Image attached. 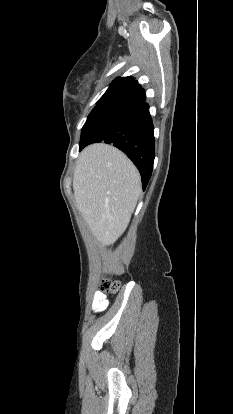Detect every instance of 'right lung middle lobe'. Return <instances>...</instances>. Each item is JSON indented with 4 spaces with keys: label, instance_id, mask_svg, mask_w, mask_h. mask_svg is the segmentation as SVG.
Returning a JSON list of instances; mask_svg holds the SVG:
<instances>
[{
    "label": "right lung middle lobe",
    "instance_id": "obj_1",
    "mask_svg": "<svg viewBox=\"0 0 233 414\" xmlns=\"http://www.w3.org/2000/svg\"><path fill=\"white\" fill-rule=\"evenodd\" d=\"M134 85L133 81L130 80H125V79H116L108 88V90L105 92V94L99 99V101L97 102V104H99L100 102L106 100L107 98H110L112 96H115L127 89H129L130 87H132Z\"/></svg>",
    "mask_w": 233,
    "mask_h": 414
}]
</instances>
